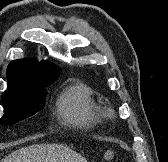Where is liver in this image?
<instances>
[{"instance_id":"6515ba94","label":"liver","mask_w":168,"mask_h":162,"mask_svg":"<svg viewBox=\"0 0 168 162\" xmlns=\"http://www.w3.org/2000/svg\"><path fill=\"white\" fill-rule=\"evenodd\" d=\"M1 162H87V160L64 145L36 144L12 152Z\"/></svg>"}]
</instances>
